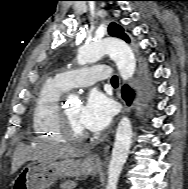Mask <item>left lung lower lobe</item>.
Segmentation results:
<instances>
[{"label": "left lung lower lobe", "instance_id": "0a47b994", "mask_svg": "<svg viewBox=\"0 0 188 189\" xmlns=\"http://www.w3.org/2000/svg\"><path fill=\"white\" fill-rule=\"evenodd\" d=\"M122 96H123V99L126 101V103L130 105L132 103L134 93L131 88L125 85L122 89Z\"/></svg>", "mask_w": 188, "mask_h": 189}]
</instances>
